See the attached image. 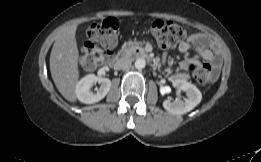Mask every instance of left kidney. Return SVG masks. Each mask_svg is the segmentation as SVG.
<instances>
[{"label":"left kidney","mask_w":261,"mask_h":162,"mask_svg":"<svg viewBox=\"0 0 261 162\" xmlns=\"http://www.w3.org/2000/svg\"><path fill=\"white\" fill-rule=\"evenodd\" d=\"M173 86L186 92L187 98L183 100L177 99L171 101L167 99L163 102V107L169 113L174 115L185 114L194 109L202 100V94L200 90L192 83L184 79H176L173 81Z\"/></svg>","instance_id":"obj_1"}]
</instances>
